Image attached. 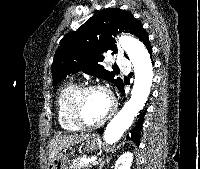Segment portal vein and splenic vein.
<instances>
[{
	"instance_id": "1",
	"label": "portal vein and splenic vein",
	"mask_w": 200,
	"mask_h": 169,
	"mask_svg": "<svg viewBox=\"0 0 200 169\" xmlns=\"http://www.w3.org/2000/svg\"><path fill=\"white\" fill-rule=\"evenodd\" d=\"M86 162H90L91 164H97L98 162H97V160H88V161H86Z\"/></svg>"
}]
</instances>
